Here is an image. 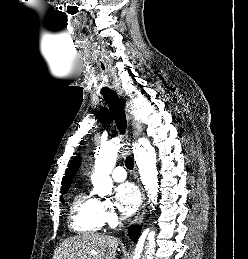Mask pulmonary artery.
I'll list each match as a JSON object with an SVG mask.
<instances>
[{
    "label": "pulmonary artery",
    "instance_id": "e3ab8cb5",
    "mask_svg": "<svg viewBox=\"0 0 248 259\" xmlns=\"http://www.w3.org/2000/svg\"><path fill=\"white\" fill-rule=\"evenodd\" d=\"M111 176L115 181L120 182L126 178V172L123 167L118 166L112 171Z\"/></svg>",
    "mask_w": 248,
    "mask_h": 259
}]
</instances>
